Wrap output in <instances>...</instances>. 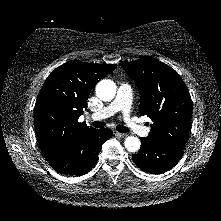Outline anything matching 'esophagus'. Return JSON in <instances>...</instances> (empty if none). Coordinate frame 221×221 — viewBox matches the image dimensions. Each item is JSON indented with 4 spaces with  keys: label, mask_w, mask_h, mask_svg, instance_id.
Here are the masks:
<instances>
[{
    "label": "esophagus",
    "mask_w": 221,
    "mask_h": 221,
    "mask_svg": "<svg viewBox=\"0 0 221 221\" xmlns=\"http://www.w3.org/2000/svg\"><path fill=\"white\" fill-rule=\"evenodd\" d=\"M114 135L117 136V137H122V138L127 136V134L120 133L118 131H114Z\"/></svg>",
    "instance_id": "esophagus-1"
}]
</instances>
